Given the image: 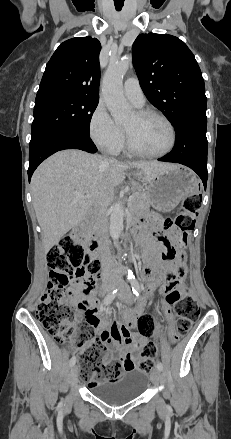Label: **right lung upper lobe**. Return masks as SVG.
<instances>
[{
  "label": "right lung upper lobe",
  "mask_w": 231,
  "mask_h": 439,
  "mask_svg": "<svg viewBox=\"0 0 231 439\" xmlns=\"http://www.w3.org/2000/svg\"><path fill=\"white\" fill-rule=\"evenodd\" d=\"M101 44L90 36L63 42L46 65L36 100L53 95L99 99Z\"/></svg>",
  "instance_id": "cb5924a9"
}]
</instances>
